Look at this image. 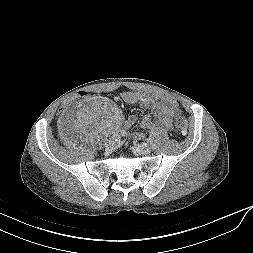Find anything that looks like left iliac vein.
I'll return each instance as SVG.
<instances>
[{
  "label": "left iliac vein",
  "mask_w": 253,
  "mask_h": 253,
  "mask_svg": "<svg viewBox=\"0 0 253 253\" xmlns=\"http://www.w3.org/2000/svg\"><path fill=\"white\" fill-rule=\"evenodd\" d=\"M133 152L136 155H148L151 152V147L148 145H134Z\"/></svg>",
  "instance_id": "4c4485c4"
}]
</instances>
